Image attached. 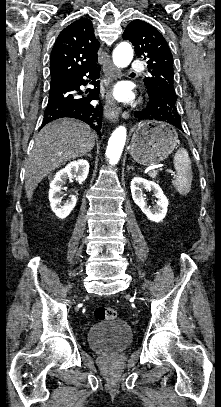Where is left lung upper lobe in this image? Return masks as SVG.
<instances>
[{"label": "left lung upper lobe", "instance_id": "1", "mask_svg": "<svg viewBox=\"0 0 221 407\" xmlns=\"http://www.w3.org/2000/svg\"><path fill=\"white\" fill-rule=\"evenodd\" d=\"M122 37L133 44L136 55L147 63L151 74L144 79L148 94L162 87L174 90L173 57L161 33L147 22L134 20L128 24Z\"/></svg>", "mask_w": 221, "mask_h": 407}]
</instances>
